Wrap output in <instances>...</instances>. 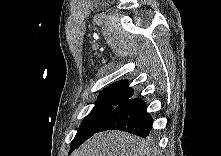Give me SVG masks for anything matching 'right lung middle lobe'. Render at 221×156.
<instances>
[{"label": "right lung middle lobe", "instance_id": "right-lung-middle-lobe-1", "mask_svg": "<svg viewBox=\"0 0 221 156\" xmlns=\"http://www.w3.org/2000/svg\"><path fill=\"white\" fill-rule=\"evenodd\" d=\"M124 101L119 99H100L95 107L83 120L79 130L70 145V152L78 148L84 141L94 135L111 112Z\"/></svg>", "mask_w": 221, "mask_h": 156}]
</instances>
